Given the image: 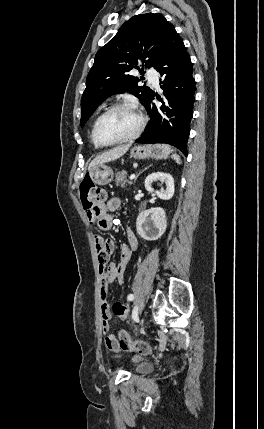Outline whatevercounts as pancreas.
I'll list each match as a JSON object with an SVG mask.
<instances>
[{"label":"pancreas","instance_id":"obj_1","mask_svg":"<svg viewBox=\"0 0 264 429\" xmlns=\"http://www.w3.org/2000/svg\"><path fill=\"white\" fill-rule=\"evenodd\" d=\"M127 176H128L127 172H125V171L117 173L115 176L116 185L124 188L127 183L131 184V182L128 181Z\"/></svg>","mask_w":264,"mask_h":429}]
</instances>
